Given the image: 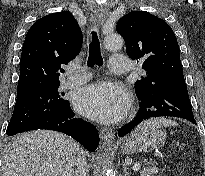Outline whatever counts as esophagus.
<instances>
[{"label":"esophagus","mask_w":205,"mask_h":176,"mask_svg":"<svg viewBox=\"0 0 205 176\" xmlns=\"http://www.w3.org/2000/svg\"><path fill=\"white\" fill-rule=\"evenodd\" d=\"M107 15H108L107 9L103 6L99 7L95 11V24L97 26H102L105 19L107 18ZM100 137H101L103 145H108L112 143V141L114 140V133L109 128H101Z\"/></svg>","instance_id":"1"}]
</instances>
